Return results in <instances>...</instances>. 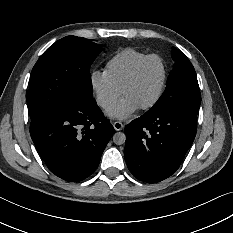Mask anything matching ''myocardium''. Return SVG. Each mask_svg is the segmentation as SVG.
<instances>
[{"label": "myocardium", "instance_id": "1", "mask_svg": "<svg viewBox=\"0 0 233 233\" xmlns=\"http://www.w3.org/2000/svg\"><path fill=\"white\" fill-rule=\"evenodd\" d=\"M157 58L159 60H161L163 67H164V77H163V81L160 87V90L157 94V96L155 97V99L149 103L148 105L142 106L140 107V109L142 111H149L152 110L153 108H155L160 101L162 100L166 88H167V84H168V80H169V67L168 64L165 60V58L163 56H161L160 54H149L147 55L134 69L133 71L130 73V75L127 77V79L124 81L122 87H121V93L122 95L125 94L126 90L136 81V79L138 78L139 74L141 73V71L143 70V68L145 67V65L152 59Z\"/></svg>", "mask_w": 233, "mask_h": 233}]
</instances>
